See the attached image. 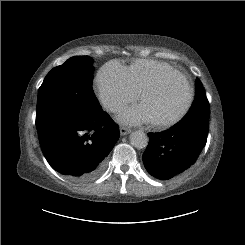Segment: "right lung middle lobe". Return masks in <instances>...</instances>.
I'll use <instances>...</instances> for the list:
<instances>
[{
	"label": "right lung middle lobe",
	"mask_w": 245,
	"mask_h": 245,
	"mask_svg": "<svg viewBox=\"0 0 245 245\" xmlns=\"http://www.w3.org/2000/svg\"><path fill=\"white\" fill-rule=\"evenodd\" d=\"M92 63L89 57H72L47 74L38 91L37 130L63 116L101 110L91 88Z\"/></svg>",
	"instance_id": "dd1d6c3e"
}]
</instances>
